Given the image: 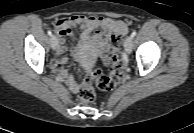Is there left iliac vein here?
Listing matches in <instances>:
<instances>
[{
    "label": "left iliac vein",
    "mask_w": 194,
    "mask_h": 133,
    "mask_svg": "<svg viewBox=\"0 0 194 133\" xmlns=\"http://www.w3.org/2000/svg\"><path fill=\"white\" fill-rule=\"evenodd\" d=\"M124 48L127 53H131L132 51V38L129 36L126 38L124 42Z\"/></svg>",
    "instance_id": "1"
}]
</instances>
